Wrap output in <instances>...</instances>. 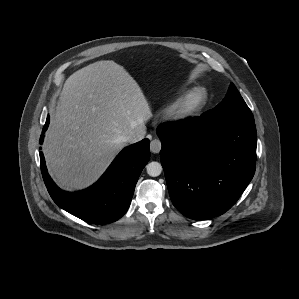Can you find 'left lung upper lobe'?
<instances>
[{"mask_svg":"<svg viewBox=\"0 0 299 299\" xmlns=\"http://www.w3.org/2000/svg\"><path fill=\"white\" fill-rule=\"evenodd\" d=\"M205 120L214 123L254 122L251 110L246 105L233 83L223 101L215 108L202 114Z\"/></svg>","mask_w":299,"mask_h":299,"instance_id":"1","label":"left lung upper lobe"}]
</instances>
